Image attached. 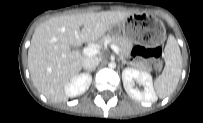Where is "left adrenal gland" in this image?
Listing matches in <instances>:
<instances>
[{"label": "left adrenal gland", "mask_w": 203, "mask_h": 123, "mask_svg": "<svg viewBox=\"0 0 203 123\" xmlns=\"http://www.w3.org/2000/svg\"><path fill=\"white\" fill-rule=\"evenodd\" d=\"M121 61H122V64L124 65V64H128L123 58L122 59H120Z\"/></svg>", "instance_id": "obj_1"}]
</instances>
